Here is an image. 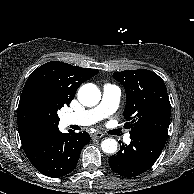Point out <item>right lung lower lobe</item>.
<instances>
[{"instance_id": "right-lung-lower-lobe-1", "label": "right lung lower lobe", "mask_w": 194, "mask_h": 194, "mask_svg": "<svg viewBox=\"0 0 194 194\" xmlns=\"http://www.w3.org/2000/svg\"><path fill=\"white\" fill-rule=\"evenodd\" d=\"M89 141L90 135L87 132L61 133L57 130L34 140L23 149L39 172L58 178L73 171L82 148Z\"/></svg>"}]
</instances>
